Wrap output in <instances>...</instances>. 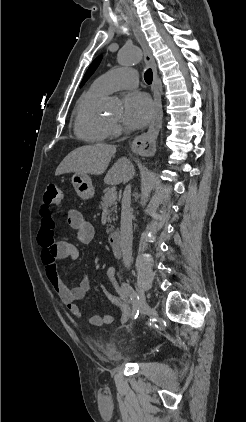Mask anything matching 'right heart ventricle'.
Returning a JSON list of instances; mask_svg holds the SVG:
<instances>
[{
    "instance_id": "e07e8e85",
    "label": "right heart ventricle",
    "mask_w": 246,
    "mask_h": 422,
    "mask_svg": "<svg viewBox=\"0 0 246 422\" xmlns=\"http://www.w3.org/2000/svg\"><path fill=\"white\" fill-rule=\"evenodd\" d=\"M105 93L91 86L79 98L74 113V132L80 139L91 143H101L109 135L110 122L98 110Z\"/></svg>"
}]
</instances>
